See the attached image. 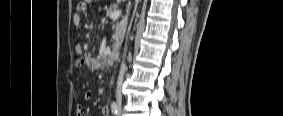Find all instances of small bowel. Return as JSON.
Listing matches in <instances>:
<instances>
[{
    "label": "small bowel",
    "instance_id": "small-bowel-1",
    "mask_svg": "<svg viewBox=\"0 0 283 116\" xmlns=\"http://www.w3.org/2000/svg\"><path fill=\"white\" fill-rule=\"evenodd\" d=\"M72 21H73V24L75 26L81 25V23H82L81 14L79 12L74 13L73 16H72ZM75 52L78 55L82 56L77 62L78 66L94 65V61L90 57L83 56L84 50H83V48L80 44L75 45ZM93 97H94V93L92 91H90V90L86 91V93H85V99L86 100H91V99H93ZM76 112H77V115H79V116L86 115L85 111L83 110V108L81 106H79L77 108ZM101 115L102 116H109L110 115V110H109V107L107 105L101 107Z\"/></svg>",
    "mask_w": 283,
    "mask_h": 116
}]
</instances>
